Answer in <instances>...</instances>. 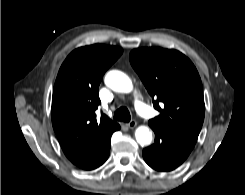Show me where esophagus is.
Instances as JSON below:
<instances>
[{
    "label": "esophagus",
    "mask_w": 245,
    "mask_h": 195,
    "mask_svg": "<svg viewBox=\"0 0 245 195\" xmlns=\"http://www.w3.org/2000/svg\"><path fill=\"white\" fill-rule=\"evenodd\" d=\"M137 125V122L135 120H131L130 122L126 123V126L130 129L135 128Z\"/></svg>",
    "instance_id": "1"
}]
</instances>
